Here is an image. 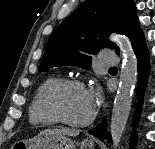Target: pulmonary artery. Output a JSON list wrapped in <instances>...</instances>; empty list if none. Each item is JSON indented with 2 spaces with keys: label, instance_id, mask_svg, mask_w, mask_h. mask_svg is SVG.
Here are the masks:
<instances>
[{
  "label": "pulmonary artery",
  "instance_id": "obj_1",
  "mask_svg": "<svg viewBox=\"0 0 155 149\" xmlns=\"http://www.w3.org/2000/svg\"><path fill=\"white\" fill-rule=\"evenodd\" d=\"M118 56L115 52L104 50L100 53V64L104 66H113L118 64Z\"/></svg>",
  "mask_w": 155,
  "mask_h": 149
}]
</instances>
